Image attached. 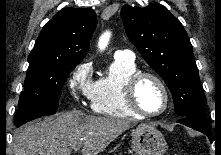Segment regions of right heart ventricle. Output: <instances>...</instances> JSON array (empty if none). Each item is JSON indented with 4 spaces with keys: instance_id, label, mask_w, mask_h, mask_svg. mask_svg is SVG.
Returning <instances> with one entry per match:
<instances>
[{
    "instance_id": "right-heart-ventricle-1",
    "label": "right heart ventricle",
    "mask_w": 221,
    "mask_h": 155,
    "mask_svg": "<svg viewBox=\"0 0 221 155\" xmlns=\"http://www.w3.org/2000/svg\"><path fill=\"white\" fill-rule=\"evenodd\" d=\"M138 68L134 61L115 59L109 69L94 83L91 96V108L100 115L135 119L140 116L130 110L124 97V86Z\"/></svg>"
}]
</instances>
